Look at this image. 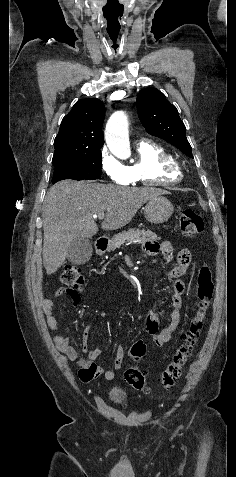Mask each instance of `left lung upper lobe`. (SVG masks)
<instances>
[{"label":"left lung upper lobe","instance_id":"5c2ea615","mask_svg":"<svg viewBox=\"0 0 236 477\" xmlns=\"http://www.w3.org/2000/svg\"><path fill=\"white\" fill-rule=\"evenodd\" d=\"M139 119L146 131L177 147L193 158L191 146L185 135V125L178 111L157 89L145 88L137 96Z\"/></svg>","mask_w":236,"mask_h":477}]
</instances>
